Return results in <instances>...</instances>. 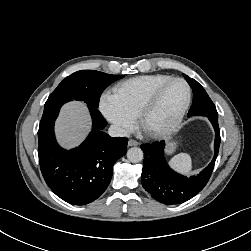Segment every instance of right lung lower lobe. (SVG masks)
I'll return each mask as SVG.
<instances>
[{
  "label": "right lung lower lobe",
  "mask_w": 251,
  "mask_h": 251,
  "mask_svg": "<svg viewBox=\"0 0 251 251\" xmlns=\"http://www.w3.org/2000/svg\"><path fill=\"white\" fill-rule=\"evenodd\" d=\"M64 103L44 108L38 130V155L42 175L50 189L72 205H85L103 194L112 178L113 165L125 155L128 139L112 138L97 107L87 105L92 132L77 148L62 149L56 142L54 122Z\"/></svg>",
  "instance_id": "obj_1"
}]
</instances>
